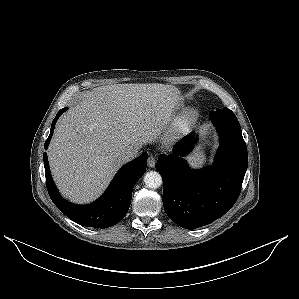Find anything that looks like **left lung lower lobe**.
Masks as SVG:
<instances>
[{
  "label": "left lung lower lobe",
  "instance_id": "1",
  "mask_svg": "<svg viewBox=\"0 0 299 299\" xmlns=\"http://www.w3.org/2000/svg\"><path fill=\"white\" fill-rule=\"evenodd\" d=\"M211 119L220 136L212 167L194 172L180 157L193 149L194 133L175 145L173 155L160 156L156 164L163 179L165 212L186 229L208 225L223 216L236 202L247 170V147L234 113L225 108Z\"/></svg>",
  "mask_w": 299,
  "mask_h": 299
}]
</instances>
